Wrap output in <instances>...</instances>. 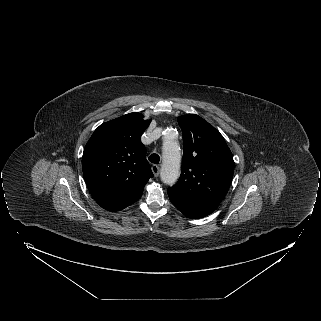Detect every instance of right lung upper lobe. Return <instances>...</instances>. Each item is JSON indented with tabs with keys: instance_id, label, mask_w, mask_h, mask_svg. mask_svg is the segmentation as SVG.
<instances>
[{
	"instance_id": "1",
	"label": "right lung upper lobe",
	"mask_w": 321,
	"mask_h": 321,
	"mask_svg": "<svg viewBox=\"0 0 321 321\" xmlns=\"http://www.w3.org/2000/svg\"><path fill=\"white\" fill-rule=\"evenodd\" d=\"M140 113H129L100 125L87 142L83 176L96 202L120 211L136 202L153 177L141 135L150 124Z\"/></svg>"
}]
</instances>
